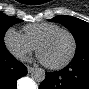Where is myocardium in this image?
I'll list each match as a JSON object with an SVG mask.
<instances>
[{"instance_id":"myocardium-1","label":"myocardium","mask_w":89,"mask_h":89,"mask_svg":"<svg viewBox=\"0 0 89 89\" xmlns=\"http://www.w3.org/2000/svg\"><path fill=\"white\" fill-rule=\"evenodd\" d=\"M59 33H65V34H67L70 37L71 42H72V49H71V52H70L69 56L63 62H61L59 64L44 63V65L47 68H50V69H53V70H59V69L65 68L74 59L76 51H77V41H76V38H75L74 34L70 30H68V29L59 28V29L53 30V31L47 33L46 35H44L38 41L37 45L35 46L36 47V52H37V54H39L40 47L44 43H46L47 41H49L53 36H55L56 34H59Z\"/></svg>"}]
</instances>
